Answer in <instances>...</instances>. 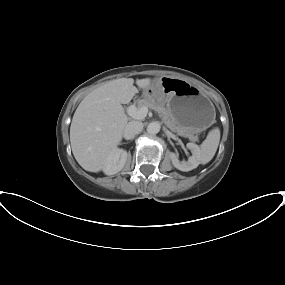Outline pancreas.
<instances>
[{"instance_id":"cf45deb5","label":"pancreas","mask_w":285,"mask_h":285,"mask_svg":"<svg viewBox=\"0 0 285 285\" xmlns=\"http://www.w3.org/2000/svg\"><path fill=\"white\" fill-rule=\"evenodd\" d=\"M144 106L157 111L160 114V116L163 117V120L165 121V123L168 125V127L172 131L178 133L180 136L189 137V139L191 141H197L198 140L197 136H194L193 134L187 133L184 129L174 125L173 122L169 119L166 109L162 105L156 103L153 100H148V99L138 100L137 108H141Z\"/></svg>"}]
</instances>
